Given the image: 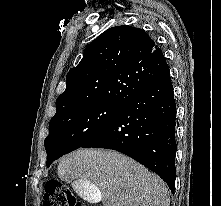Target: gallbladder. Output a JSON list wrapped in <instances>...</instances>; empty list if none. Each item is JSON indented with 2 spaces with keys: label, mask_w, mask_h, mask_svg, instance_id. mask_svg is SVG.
Returning <instances> with one entry per match:
<instances>
[{
  "label": "gallbladder",
  "mask_w": 221,
  "mask_h": 206,
  "mask_svg": "<svg viewBox=\"0 0 221 206\" xmlns=\"http://www.w3.org/2000/svg\"><path fill=\"white\" fill-rule=\"evenodd\" d=\"M74 186L80 198H84V202H90L91 205L99 204V198L103 195L97 185H91V181H74Z\"/></svg>",
  "instance_id": "bac80fb5"
}]
</instances>
